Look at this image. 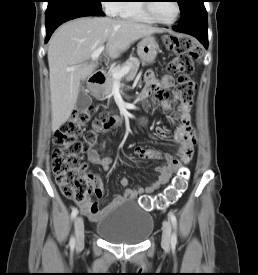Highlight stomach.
I'll list each match as a JSON object with an SVG mask.
<instances>
[{"label": "stomach", "instance_id": "obj_1", "mask_svg": "<svg viewBox=\"0 0 258 275\" xmlns=\"http://www.w3.org/2000/svg\"><path fill=\"white\" fill-rule=\"evenodd\" d=\"M159 51V45L156 38L148 35L142 38L137 45V53L143 63H153ZM95 95H100V89L95 91Z\"/></svg>", "mask_w": 258, "mask_h": 275}]
</instances>
